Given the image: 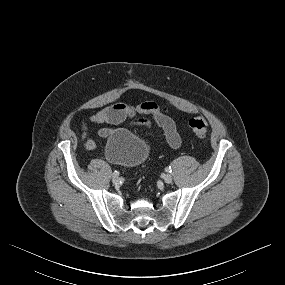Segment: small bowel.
Segmentation results:
<instances>
[{
    "mask_svg": "<svg viewBox=\"0 0 285 285\" xmlns=\"http://www.w3.org/2000/svg\"><path fill=\"white\" fill-rule=\"evenodd\" d=\"M130 119L133 127H144L150 129L153 126L163 131L168 145L172 149H177L181 144L180 135L176 125L167 113V108L153 101L142 102L137 105L125 103L115 104L106 107L91 115L87 122L83 123L81 138L88 151H93L96 147L95 141L87 136L88 123L98 124H119ZM104 135V131L101 132Z\"/></svg>",
    "mask_w": 285,
    "mask_h": 285,
    "instance_id": "obj_1",
    "label": "small bowel"
}]
</instances>
